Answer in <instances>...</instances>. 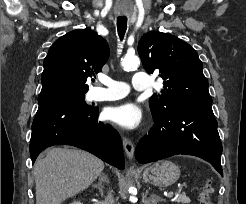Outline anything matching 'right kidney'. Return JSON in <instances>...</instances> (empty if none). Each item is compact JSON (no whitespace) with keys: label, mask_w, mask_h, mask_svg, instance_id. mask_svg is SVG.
<instances>
[{"label":"right kidney","mask_w":246,"mask_h":204,"mask_svg":"<svg viewBox=\"0 0 246 204\" xmlns=\"http://www.w3.org/2000/svg\"><path fill=\"white\" fill-rule=\"evenodd\" d=\"M70 204H83V203H81L80 201H74L73 203Z\"/></svg>","instance_id":"obj_1"}]
</instances>
